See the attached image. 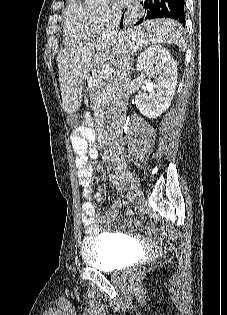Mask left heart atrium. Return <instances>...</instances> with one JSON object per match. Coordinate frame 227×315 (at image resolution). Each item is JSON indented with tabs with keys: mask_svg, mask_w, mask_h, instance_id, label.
I'll list each match as a JSON object with an SVG mask.
<instances>
[{
	"mask_svg": "<svg viewBox=\"0 0 227 315\" xmlns=\"http://www.w3.org/2000/svg\"><path fill=\"white\" fill-rule=\"evenodd\" d=\"M127 0H118L119 3H125Z\"/></svg>",
	"mask_w": 227,
	"mask_h": 315,
	"instance_id": "left-heart-atrium-1",
	"label": "left heart atrium"
}]
</instances>
